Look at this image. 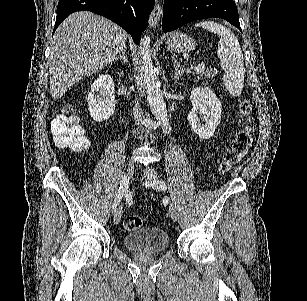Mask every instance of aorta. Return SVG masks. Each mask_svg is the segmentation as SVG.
<instances>
[{
    "mask_svg": "<svg viewBox=\"0 0 307 301\" xmlns=\"http://www.w3.org/2000/svg\"><path fill=\"white\" fill-rule=\"evenodd\" d=\"M150 36H142L139 44V54L142 62L143 82L146 88V98L152 114L161 124L162 132L168 134L171 130L168 112L161 90V82L156 74L150 50Z\"/></svg>",
    "mask_w": 307,
    "mask_h": 301,
    "instance_id": "762f6f07",
    "label": "aorta"
}]
</instances>
